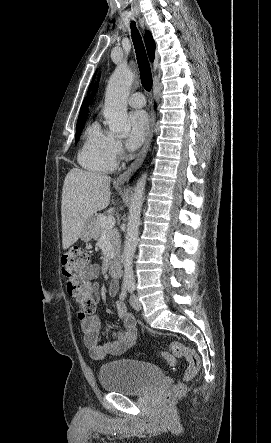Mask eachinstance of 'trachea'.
Wrapping results in <instances>:
<instances>
[{"mask_svg":"<svg viewBox=\"0 0 271 443\" xmlns=\"http://www.w3.org/2000/svg\"><path fill=\"white\" fill-rule=\"evenodd\" d=\"M122 1V7H127V5L131 4L132 0H121ZM131 33H132V40L134 42L137 61L139 65V71H140V78L141 83L145 90L147 92H150L152 88V74L150 69V64L147 58V54L145 51V47L143 45L141 35L139 34L138 30L136 29L135 22H131Z\"/></svg>","mask_w":271,"mask_h":443,"instance_id":"obj_1","label":"trachea"}]
</instances>
